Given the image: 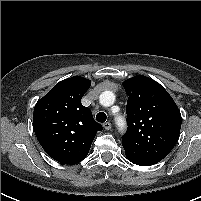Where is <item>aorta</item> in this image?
I'll list each match as a JSON object with an SVG mask.
<instances>
[{
  "instance_id": "1",
  "label": "aorta",
  "mask_w": 201,
  "mask_h": 201,
  "mask_svg": "<svg viewBox=\"0 0 201 201\" xmlns=\"http://www.w3.org/2000/svg\"><path fill=\"white\" fill-rule=\"evenodd\" d=\"M101 102H107L114 100V94L110 91L103 92L100 96ZM117 124L119 127L124 125V120L122 118H117Z\"/></svg>"
}]
</instances>
